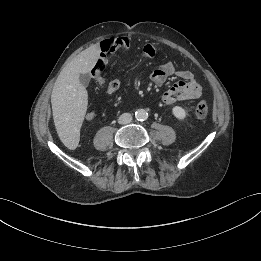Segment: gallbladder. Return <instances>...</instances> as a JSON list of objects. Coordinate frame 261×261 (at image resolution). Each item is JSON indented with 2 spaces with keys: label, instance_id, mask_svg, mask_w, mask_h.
Returning a JSON list of instances; mask_svg holds the SVG:
<instances>
[{
  "label": "gallbladder",
  "instance_id": "bac80fb5",
  "mask_svg": "<svg viewBox=\"0 0 261 261\" xmlns=\"http://www.w3.org/2000/svg\"><path fill=\"white\" fill-rule=\"evenodd\" d=\"M91 77L88 73L86 74H80L79 81L83 86H87L89 84Z\"/></svg>",
  "mask_w": 261,
  "mask_h": 261
}]
</instances>
